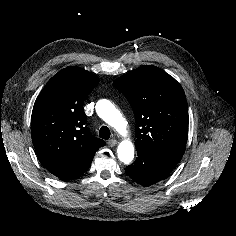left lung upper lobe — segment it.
<instances>
[{
  "mask_svg": "<svg viewBox=\"0 0 236 236\" xmlns=\"http://www.w3.org/2000/svg\"><path fill=\"white\" fill-rule=\"evenodd\" d=\"M113 85L129 101L136 119L137 149L181 160L188 138V108L181 85L164 70L145 65Z\"/></svg>",
  "mask_w": 236,
  "mask_h": 236,
  "instance_id": "1",
  "label": "left lung upper lobe"
}]
</instances>
